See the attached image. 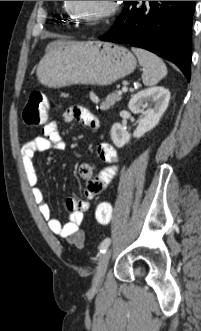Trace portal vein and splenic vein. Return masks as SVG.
Returning a JSON list of instances; mask_svg holds the SVG:
<instances>
[{"instance_id": "portal-vein-and-splenic-vein-1", "label": "portal vein and splenic vein", "mask_w": 201, "mask_h": 331, "mask_svg": "<svg viewBox=\"0 0 201 331\" xmlns=\"http://www.w3.org/2000/svg\"><path fill=\"white\" fill-rule=\"evenodd\" d=\"M127 91H128V88H127L126 86H124V87L122 88V90L118 92V94H122L123 92L125 93V92H127Z\"/></svg>"}]
</instances>
